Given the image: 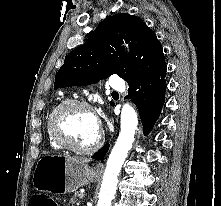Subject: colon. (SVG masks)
<instances>
[{
  "instance_id": "1",
  "label": "colon",
  "mask_w": 221,
  "mask_h": 206,
  "mask_svg": "<svg viewBox=\"0 0 221 206\" xmlns=\"http://www.w3.org/2000/svg\"><path fill=\"white\" fill-rule=\"evenodd\" d=\"M29 206H57V204L44 194H35L30 198Z\"/></svg>"
}]
</instances>
